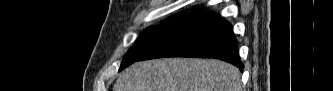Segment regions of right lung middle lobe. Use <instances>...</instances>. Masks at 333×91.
Wrapping results in <instances>:
<instances>
[{
	"instance_id": "1",
	"label": "right lung middle lobe",
	"mask_w": 333,
	"mask_h": 91,
	"mask_svg": "<svg viewBox=\"0 0 333 91\" xmlns=\"http://www.w3.org/2000/svg\"><path fill=\"white\" fill-rule=\"evenodd\" d=\"M187 22L188 20L186 19H171L161 26L146 29L127 52L119 71L134 63L150 50L165 41Z\"/></svg>"
}]
</instances>
